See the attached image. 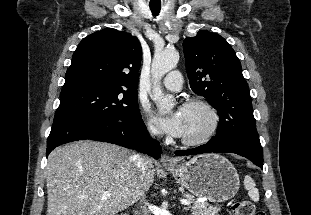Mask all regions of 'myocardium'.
I'll return each mask as SVG.
<instances>
[{"instance_id":"myocardium-1","label":"myocardium","mask_w":311,"mask_h":215,"mask_svg":"<svg viewBox=\"0 0 311 215\" xmlns=\"http://www.w3.org/2000/svg\"><path fill=\"white\" fill-rule=\"evenodd\" d=\"M192 107L202 108L208 113L210 117V124L208 126V129L203 135L193 139L181 138L182 144L190 147H197L205 144L214 136L220 123V117L217 110L209 102L205 100L190 99L183 104V108H192Z\"/></svg>"}]
</instances>
